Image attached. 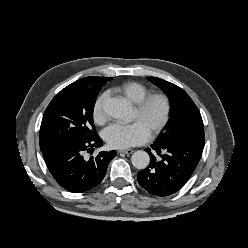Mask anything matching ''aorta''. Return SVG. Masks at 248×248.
I'll list each match as a JSON object with an SVG mask.
<instances>
[{
	"mask_svg": "<svg viewBox=\"0 0 248 248\" xmlns=\"http://www.w3.org/2000/svg\"><path fill=\"white\" fill-rule=\"evenodd\" d=\"M104 112L112 118L128 120L131 114V106L124 99L110 98L103 105ZM132 165L137 169H145L150 162V156L143 150L134 152L131 156Z\"/></svg>",
	"mask_w": 248,
	"mask_h": 248,
	"instance_id": "aorta-1",
	"label": "aorta"
}]
</instances>
